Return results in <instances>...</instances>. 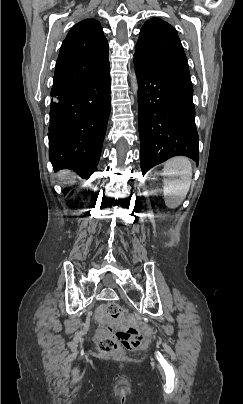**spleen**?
<instances>
[{
    "label": "spleen",
    "mask_w": 243,
    "mask_h": 404,
    "mask_svg": "<svg viewBox=\"0 0 243 404\" xmlns=\"http://www.w3.org/2000/svg\"><path fill=\"white\" fill-rule=\"evenodd\" d=\"M162 176H164L165 200H167V206H171L169 198H173V196L185 198L189 192L192 178V166L189 158H184V156L171 158L166 162Z\"/></svg>",
    "instance_id": "3e777b00"
}]
</instances>
